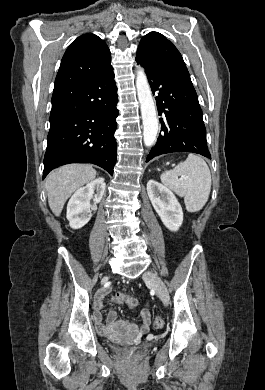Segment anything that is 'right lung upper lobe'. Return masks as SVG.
Wrapping results in <instances>:
<instances>
[{
	"label": "right lung upper lobe",
	"mask_w": 265,
	"mask_h": 390,
	"mask_svg": "<svg viewBox=\"0 0 265 390\" xmlns=\"http://www.w3.org/2000/svg\"><path fill=\"white\" fill-rule=\"evenodd\" d=\"M109 66L111 54L106 43L94 34H84L67 48L54 90L83 81Z\"/></svg>",
	"instance_id": "right-lung-upper-lobe-1"
}]
</instances>
